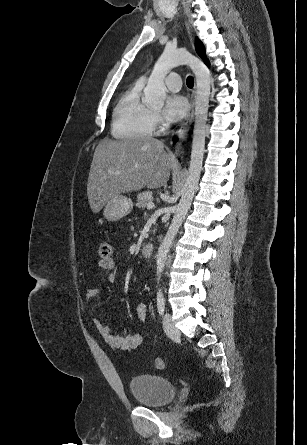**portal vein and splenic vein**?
<instances>
[{"instance_id":"1","label":"portal vein and splenic vein","mask_w":307,"mask_h":445,"mask_svg":"<svg viewBox=\"0 0 307 445\" xmlns=\"http://www.w3.org/2000/svg\"><path fill=\"white\" fill-rule=\"evenodd\" d=\"M109 172H111V174H119V172H113V170H109ZM153 206H155L154 202H148L147 204L148 210H150V208H153Z\"/></svg>"}]
</instances>
